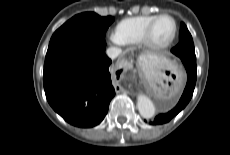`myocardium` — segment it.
Masks as SVG:
<instances>
[{
  "label": "myocardium",
  "mask_w": 230,
  "mask_h": 155,
  "mask_svg": "<svg viewBox=\"0 0 230 155\" xmlns=\"http://www.w3.org/2000/svg\"><path fill=\"white\" fill-rule=\"evenodd\" d=\"M162 18H169L170 20H172L174 27H173V32L167 41L163 43H157L152 39V32H153V28L155 24ZM177 31H178V26H177V22L174 19V17H172L169 14H160V15H157L147 26L141 41L143 45L147 47L148 49L153 50V51H161V50L167 49L169 46L172 45V43L174 42L176 38Z\"/></svg>",
  "instance_id": "1"
}]
</instances>
